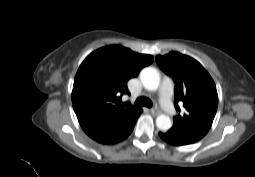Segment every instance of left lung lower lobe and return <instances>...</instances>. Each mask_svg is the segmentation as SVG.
Segmentation results:
<instances>
[{
    "mask_svg": "<svg viewBox=\"0 0 255 177\" xmlns=\"http://www.w3.org/2000/svg\"><path fill=\"white\" fill-rule=\"evenodd\" d=\"M159 136L167 143L176 145V146H182V145L195 143V141L189 139L188 137L178 134L172 130H169L165 133L160 132Z\"/></svg>",
    "mask_w": 255,
    "mask_h": 177,
    "instance_id": "obj_1",
    "label": "left lung lower lobe"
}]
</instances>
